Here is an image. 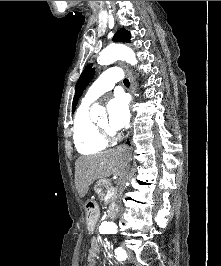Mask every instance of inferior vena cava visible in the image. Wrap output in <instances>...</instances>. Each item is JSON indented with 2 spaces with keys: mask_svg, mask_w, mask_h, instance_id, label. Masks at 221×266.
Listing matches in <instances>:
<instances>
[{
  "mask_svg": "<svg viewBox=\"0 0 221 266\" xmlns=\"http://www.w3.org/2000/svg\"><path fill=\"white\" fill-rule=\"evenodd\" d=\"M128 173H129V165H127L126 167L125 174L120 178L119 185L121 190L125 188L126 180L128 179Z\"/></svg>",
  "mask_w": 221,
  "mask_h": 266,
  "instance_id": "602c4592",
  "label": "inferior vena cava"
}]
</instances>
